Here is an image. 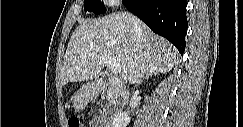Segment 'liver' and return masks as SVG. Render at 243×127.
Here are the masks:
<instances>
[{"instance_id":"obj_1","label":"liver","mask_w":243,"mask_h":127,"mask_svg":"<svg viewBox=\"0 0 243 127\" xmlns=\"http://www.w3.org/2000/svg\"><path fill=\"white\" fill-rule=\"evenodd\" d=\"M104 56L120 65L123 82L138 83L146 73L169 72L178 52L132 14L121 12L88 20L70 38L62 84L96 78L104 68Z\"/></svg>"}]
</instances>
